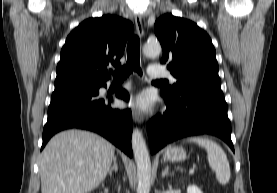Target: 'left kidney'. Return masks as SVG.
Listing matches in <instances>:
<instances>
[{
	"label": "left kidney",
	"mask_w": 277,
	"mask_h": 193,
	"mask_svg": "<svg viewBox=\"0 0 277 193\" xmlns=\"http://www.w3.org/2000/svg\"><path fill=\"white\" fill-rule=\"evenodd\" d=\"M187 193H203L197 186L190 185L187 187Z\"/></svg>",
	"instance_id": "obj_1"
}]
</instances>
